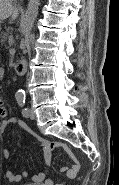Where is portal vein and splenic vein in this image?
Wrapping results in <instances>:
<instances>
[{"instance_id": "portal-vein-and-splenic-vein-1", "label": "portal vein and splenic vein", "mask_w": 119, "mask_h": 185, "mask_svg": "<svg viewBox=\"0 0 119 185\" xmlns=\"http://www.w3.org/2000/svg\"><path fill=\"white\" fill-rule=\"evenodd\" d=\"M8 43H9V45H13V44H14L13 36H10V37H9Z\"/></svg>"}]
</instances>
